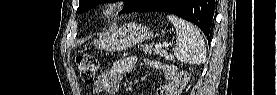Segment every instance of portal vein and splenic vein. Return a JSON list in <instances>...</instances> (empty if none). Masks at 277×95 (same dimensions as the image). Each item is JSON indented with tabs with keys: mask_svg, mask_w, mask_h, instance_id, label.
Here are the masks:
<instances>
[{
	"mask_svg": "<svg viewBox=\"0 0 277 95\" xmlns=\"http://www.w3.org/2000/svg\"><path fill=\"white\" fill-rule=\"evenodd\" d=\"M168 46H169V44H168L167 42H164V43L162 44V47H163V48H168Z\"/></svg>",
	"mask_w": 277,
	"mask_h": 95,
	"instance_id": "obj_1",
	"label": "portal vein and splenic vein"
}]
</instances>
